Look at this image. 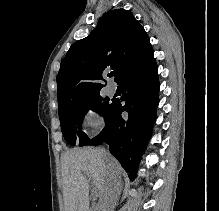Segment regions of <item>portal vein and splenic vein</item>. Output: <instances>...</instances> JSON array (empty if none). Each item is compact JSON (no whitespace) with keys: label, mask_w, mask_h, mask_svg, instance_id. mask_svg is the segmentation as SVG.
I'll use <instances>...</instances> for the list:
<instances>
[{"label":"portal vein and splenic vein","mask_w":219,"mask_h":211,"mask_svg":"<svg viewBox=\"0 0 219 211\" xmlns=\"http://www.w3.org/2000/svg\"><path fill=\"white\" fill-rule=\"evenodd\" d=\"M96 189L95 187H93V195H95V197H98L97 193H95Z\"/></svg>","instance_id":"1"}]
</instances>
